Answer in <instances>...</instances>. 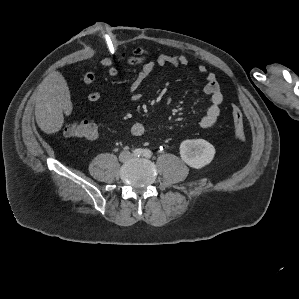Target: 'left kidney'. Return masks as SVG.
Wrapping results in <instances>:
<instances>
[{
  "instance_id": "1",
  "label": "left kidney",
  "mask_w": 299,
  "mask_h": 299,
  "mask_svg": "<svg viewBox=\"0 0 299 299\" xmlns=\"http://www.w3.org/2000/svg\"><path fill=\"white\" fill-rule=\"evenodd\" d=\"M180 155L187 165L200 169L213 160L215 148L204 139L184 140L180 144Z\"/></svg>"
}]
</instances>
